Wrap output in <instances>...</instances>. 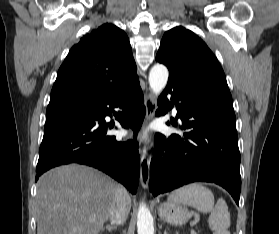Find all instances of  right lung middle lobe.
Listing matches in <instances>:
<instances>
[{
	"label": "right lung middle lobe",
	"mask_w": 279,
	"mask_h": 234,
	"mask_svg": "<svg viewBox=\"0 0 279 234\" xmlns=\"http://www.w3.org/2000/svg\"><path fill=\"white\" fill-rule=\"evenodd\" d=\"M84 107H76V106H62V107H52L47 108L46 118H51L58 115L73 113L83 109Z\"/></svg>",
	"instance_id": "right-lung-middle-lobe-1"
}]
</instances>
